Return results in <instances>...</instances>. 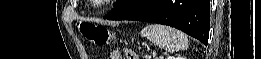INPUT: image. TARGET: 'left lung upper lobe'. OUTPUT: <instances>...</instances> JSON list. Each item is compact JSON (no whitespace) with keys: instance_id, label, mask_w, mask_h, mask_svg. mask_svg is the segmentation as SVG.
<instances>
[{"instance_id":"1","label":"left lung upper lobe","mask_w":261,"mask_h":59,"mask_svg":"<svg viewBox=\"0 0 261 59\" xmlns=\"http://www.w3.org/2000/svg\"><path fill=\"white\" fill-rule=\"evenodd\" d=\"M124 0H117L116 3H115V6H118L120 5Z\"/></svg>"}]
</instances>
